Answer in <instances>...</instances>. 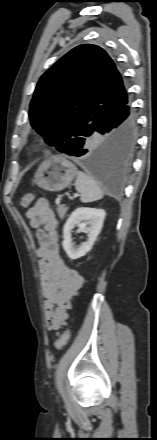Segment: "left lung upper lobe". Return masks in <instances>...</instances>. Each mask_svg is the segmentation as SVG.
<instances>
[{"instance_id":"1","label":"left lung upper lobe","mask_w":157,"mask_h":440,"mask_svg":"<svg viewBox=\"0 0 157 440\" xmlns=\"http://www.w3.org/2000/svg\"><path fill=\"white\" fill-rule=\"evenodd\" d=\"M127 98L113 60L102 48L84 44L41 76L29 119L47 144L64 152L92 135L101 119Z\"/></svg>"}]
</instances>
